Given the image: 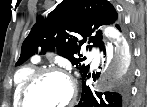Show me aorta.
Masks as SVG:
<instances>
[{
  "instance_id": "aorta-1",
  "label": "aorta",
  "mask_w": 147,
  "mask_h": 107,
  "mask_svg": "<svg viewBox=\"0 0 147 107\" xmlns=\"http://www.w3.org/2000/svg\"><path fill=\"white\" fill-rule=\"evenodd\" d=\"M111 35L106 45L107 67L100 80L95 85L99 92L115 89L130 74L132 55L125 39L114 29H107Z\"/></svg>"
}]
</instances>
